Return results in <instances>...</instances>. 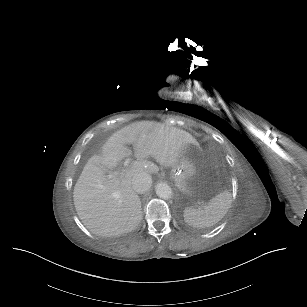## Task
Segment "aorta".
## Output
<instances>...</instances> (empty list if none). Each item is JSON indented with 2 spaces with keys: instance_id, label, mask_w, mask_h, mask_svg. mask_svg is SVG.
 Here are the masks:
<instances>
[{
  "instance_id": "762f6f07",
  "label": "aorta",
  "mask_w": 307,
  "mask_h": 307,
  "mask_svg": "<svg viewBox=\"0 0 307 307\" xmlns=\"http://www.w3.org/2000/svg\"><path fill=\"white\" fill-rule=\"evenodd\" d=\"M155 190L157 196L163 200H168L173 197L172 188L167 183H158Z\"/></svg>"
}]
</instances>
